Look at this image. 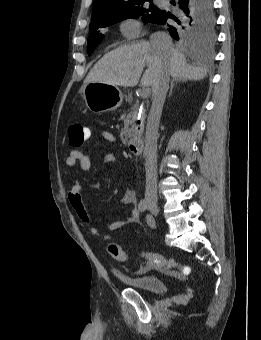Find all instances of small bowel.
Here are the masks:
<instances>
[{"instance_id": "1", "label": "small bowel", "mask_w": 261, "mask_h": 340, "mask_svg": "<svg viewBox=\"0 0 261 340\" xmlns=\"http://www.w3.org/2000/svg\"><path fill=\"white\" fill-rule=\"evenodd\" d=\"M90 137H91V130L86 127V140L89 139ZM101 137L105 141H108V142H115L116 141L115 136L107 130H103L101 132ZM104 161L107 164H113V163L116 162V157H115V155L108 153V154L105 155ZM66 164L70 167H73L75 165H79V167L85 172H89L91 170V160H90V158L78 149H73L69 152V154L66 158ZM68 200H69L71 207L75 211L76 215L78 216V218L82 222V224L85 225L88 228L89 232L93 236L100 238L104 241H108V240L111 239L110 234H102L101 228L94 223V221H93V219H92V217H91V215H90V213H89V211L86 207V204L84 202L83 189H82L81 185L74 184L70 188V190L68 192ZM121 201L124 204L133 206V208L130 212V215L125 219L117 220V221L106 224L103 227V229L107 232H112V231L118 230V229H120L124 226L139 222V210L136 208L137 198H136L134 191L132 189H128L125 192V194L123 195ZM147 269H148V267H143L141 269V271H145Z\"/></svg>"}]
</instances>
